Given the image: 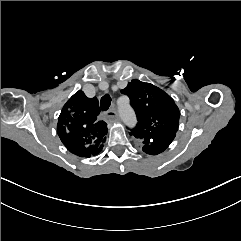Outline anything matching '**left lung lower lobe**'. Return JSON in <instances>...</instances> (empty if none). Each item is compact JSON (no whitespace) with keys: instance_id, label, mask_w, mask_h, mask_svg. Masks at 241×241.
Segmentation results:
<instances>
[{"instance_id":"0a47b994","label":"left lung lower lobe","mask_w":241,"mask_h":241,"mask_svg":"<svg viewBox=\"0 0 241 241\" xmlns=\"http://www.w3.org/2000/svg\"><path fill=\"white\" fill-rule=\"evenodd\" d=\"M174 137H175V134H172V135L168 136V145L172 142V140L174 139ZM168 145H167V147H168ZM167 147H166V148H167Z\"/></svg>"}]
</instances>
